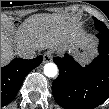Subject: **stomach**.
Wrapping results in <instances>:
<instances>
[{
	"mask_svg": "<svg viewBox=\"0 0 109 109\" xmlns=\"http://www.w3.org/2000/svg\"><path fill=\"white\" fill-rule=\"evenodd\" d=\"M69 52L75 55L81 64L87 63L95 54L94 49L82 45L70 49Z\"/></svg>",
	"mask_w": 109,
	"mask_h": 109,
	"instance_id": "obj_1",
	"label": "stomach"
}]
</instances>
